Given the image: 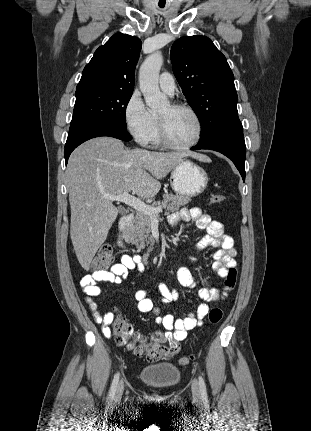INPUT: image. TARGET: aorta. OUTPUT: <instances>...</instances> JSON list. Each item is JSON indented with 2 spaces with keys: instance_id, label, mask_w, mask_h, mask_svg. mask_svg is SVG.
I'll list each match as a JSON object with an SVG mask.
<instances>
[{
  "instance_id": "obj_1",
  "label": "aorta",
  "mask_w": 311,
  "mask_h": 431,
  "mask_svg": "<svg viewBox=\"0 0 311 431\" xmlns=\"http://www.w3.org/2000/svg\"><path fill=\"white\" fill-rule=\"evenodd\" d=\"M163 66L162 52H153L144 60L139 70L140 90L145 98L146 106L151 110H160L169 106L168 98L159 90V74Z\"/></svg>"
}]
</instances>
